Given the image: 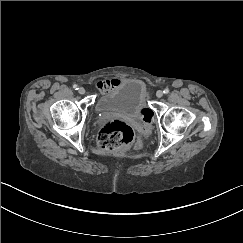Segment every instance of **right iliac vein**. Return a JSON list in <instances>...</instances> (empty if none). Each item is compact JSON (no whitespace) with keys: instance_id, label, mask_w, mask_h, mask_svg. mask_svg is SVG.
I'll list each match as a JSON object with an SVG mask.
<instances>
[{"instance_id":"1","label":"right iliac vein","mask_w":243,"mask_h":243,"mask_svg":"<svg viewBox=\"0 0 243 243\" xmlns=\"http://www.w3.org/2000/svg\"><path fill=\"white\" fill-rule=\"evenodd\" d=\"M79 94H85L86 90L83 87L78 89Z\"/></svg>"}]
</instances>
